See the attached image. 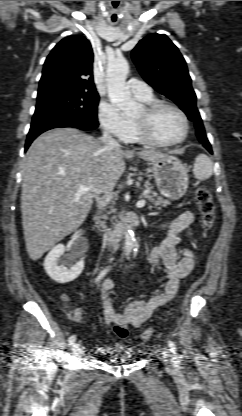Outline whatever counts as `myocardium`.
I'll return each instance as SVG.
<instances>
[{
  "label": "myocardium",
  "instance_id": "f54148a6",
  "mask_svg": "<svg viewBox=\"0 0 242 416\" xmlns=\"http://www.w3.org/2000/svg\"><path fill=\"white\" fill-rule=\"evenodd\" d=\"M170 108L174 110L181 118L183 122V133L182 135L173 141H162L156 138L150 129L149 120L150 117L161 108ZM145 118L142 120L134 119V125L140 140L148 145L168 147L182 143L188 136L189 133V120L185 112L177 105L163 100H153L143 105Z\"/></svg>",
  "mask_w": 242,
  "mask_h": 416
}]
</instances>
